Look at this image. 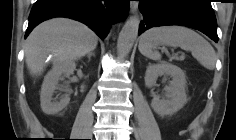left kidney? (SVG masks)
Segmentation results:
<instances>
[{"label": "left kidney", "mask_w": 236, "mask_h": 140, "mask_svg": "<svg viewBox=\"0 0 236 140\" xmlns=\"http://www.w3.org/2000/svg\"><path fill=\"white\" fill-rule=\"evenodd\" d=\"M162 75L172 77L170 85L164 89L167 93V99H160L158 95H154L151 107L161 116L172 115L179 111L187 102L185 73L176 65L168 62L149 64L144 77L145 85L148 88H152L157 78Z\"/></svg>", "instance_id": "5707ae66"}]
</instances>
